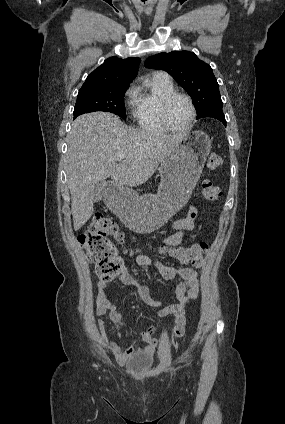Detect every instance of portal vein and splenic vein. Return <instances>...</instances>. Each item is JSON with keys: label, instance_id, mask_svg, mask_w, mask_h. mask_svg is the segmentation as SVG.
<instances>
[{"label": "portal vein and splenic vein", "instance_id": "portal-vein-and-splenic-vein-1", "mask_svg": "<svg viewBox=\"0 0 285 424\" xmlns=\"http://www.w3.org/2000/svg\"><path fill=\"white\" fill-rule=\"evenodd\" d=\"M124 157H125V154H124V153H119V154L116 156V160H118V161L123 160V159H124Z\"/></svg>", "mask_w": 285, "mask_h": 424}]
</instances>
